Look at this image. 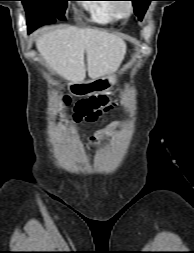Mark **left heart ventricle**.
Wrapping results in <instances>:
<instances>
[{"label":"left heart ventricle","instance_id":"b2bd125f","mask_svg":"<svg viewBox=\"0 0 194 253\" xmlns=\"http://www.w3.org/2000/svg\"><path fill=\"white\" fill-rule=\"evenodd\" d=\"M122 6H123L124 9L127 8V4L126 3H122Z\"/></svg>","mask_w":194,"mask_h":253}]
</instances>
